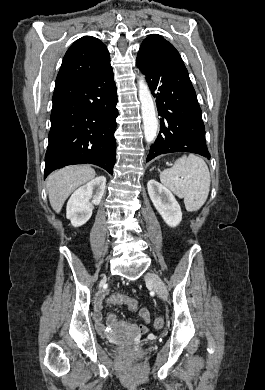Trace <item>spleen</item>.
Wrapping results in <instances>:
<instances>
[{
    "mask_svg": "<svg viewBox=\"0 0 265 390\" xmlns=\"http://www.w3.org/2000/svg\"><path fill=\"white\" fill-rule=\"evenodd\" d=\"M161 182L179 198H184L189 212L199 210L210 189V172L204 160L194 154L182 156L174 166L160 173Z\"/></svg>",
    "mask_w": 265,
    "mask_h": 390,
    "instance_id": "3e777b00",
    "label": "spleen"
}]
</instances>
